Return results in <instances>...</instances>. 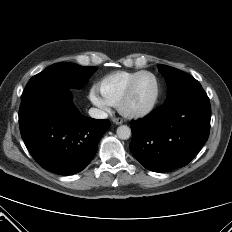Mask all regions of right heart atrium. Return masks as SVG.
Wrapping results in <instances>:
<instances>
[{
    "instance_id": "d8ad5b80",
    "label": "right heart atrium",
    "mask_w": 232,
    "mask_h": 232,
    "mask_svg": "<svg viewBox=\"0 0 232 232\" xmlns=\"http://www.w3.org/2000/svg\"><path fill=\"white\" fill-rule=\"evenodd\" d=\"M89 99L90 101L97 106L99 109H101L104 112H108L110 109V105L101 98L95 89H91L89 92Z\"/></svg>"
}]
</instances>
